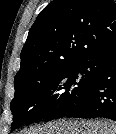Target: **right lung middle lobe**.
<instances>
[{
	"label": "right lung middle lobe",
	"instance_id": "obj_1",
	"mask_svg": "<svg viewBox=\"0 0 116 134\" xmlns=\"http://www.w3.org/2000/svg\"><path fill=\"white\" fill-rule=\"evenodd\" d=\"M98 66L95 62L76 63L15 94L11 101V130L29 122L53 119L76 103L93 82Z\"/></svg>",
	"mask_w": 116,
	"mask_h": 134
}]
</instances>
